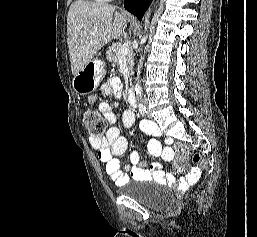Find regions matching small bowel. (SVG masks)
Listing matches in <instances>:
<instances>
[{"mask_svg":"<svg viewBox=\"0 0 257 237\" xmlns=\"http://www.w3.org/2000/svg\"><path fill=\"white\" fill-rule=\"evenodd\" d=\"M122 91V82L119 78H111L100 87V94L114 95L119 97ZM99 100L97 94L88 97V103L93 105ZM99 111L104 115L109 124L113 125L116 122V115L108 102L102 101L98 105ZM135 121V114L132 109H128L123 113V123L129 128ZM141 129L150 135H158V130L153 122L142 120ZM90 144L96 151L98 159L105 165L106 174L117 184L123 185L128 180V172L134 180H151L156 179L160 182L174 184L176 179L173 174L166 172L159 163H153L150 170L144 168V163L141 160L140 154L137 151H132L130 154V163L121 166L120 161L116 158L124 154L129 147V140L122 135L119 128L111 126L104 137H90ZM170 142V139L166 140ZM148 150L151 155H163L165 159H171L173 151L170 148H163L161 142L153 138ZM204 163L201 161V165ZM200 167L192 168L187 175L189 183L194 182L199 178Z\"/></svg>","mask_w":257,"mask_h":237,"instance_id":"c3829d8e","label":"small bowel"}]
</instances>
